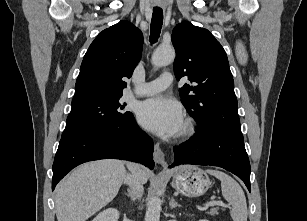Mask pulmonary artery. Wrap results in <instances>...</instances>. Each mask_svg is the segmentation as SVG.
<instances>
[{
	"label": "pulmonary artery",
	"mask_w": 307,
	"mask_h": 221,
	"mask_svg": "<svg viewBox=\"0 0 307 221\" xmlns=\"http://www.w3.org/2000/svg\"><path fill=\"white\" fill-rule=\"evenodd\" d=\"M173 76L171 73H163L159 78L144 83L133 90V94L136 96H149L155 93L161 92L169 88L172 84Z\"/></svg>",
	"instance_id": "pulmonary-artery-1"
}]
</instances>
